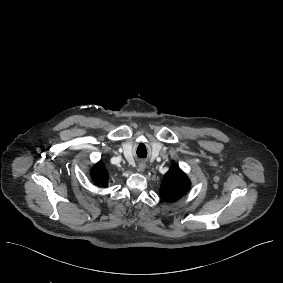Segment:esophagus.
<instances>
[{"label": "esophagus", "mask_w": 283, "mask_h": 283, "mask_svg": "<svg viewBox=\"0 0 283 283\" xmlns=\"http://www.w3.org/2000/svg\"><path fill=\"white\" fill-rule=\"evenodd\" d=\"M145 168H146L145 162L138 163V171L139 172H144Z\"/></svg>", "instance_id": "obj_1"}]
</instances>
